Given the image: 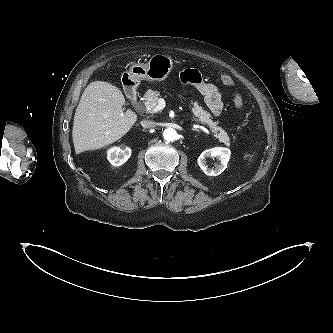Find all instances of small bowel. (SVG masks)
<instances>
[{
    "label": "small bowel",
    "mask_w": 333,
    "mask_h": 333,
    "mask_svg": "<svg viewBox=\"0 0 333 333\" xmlns=\"http://www.w3.org/2000/svg\"><path fill=\"white\" fill-rule=\"evenodd\" d=\"M180 79L185 84L193 85L203 96L205 102L214 115H219L223 109L220 90L207 82L196 69H185L180 74Z\"/></svg>",
    "instance_id": "small-bowel-1"
}]
</instances>
